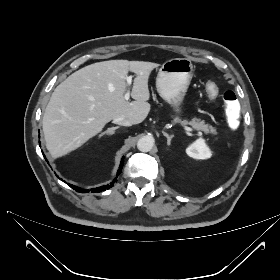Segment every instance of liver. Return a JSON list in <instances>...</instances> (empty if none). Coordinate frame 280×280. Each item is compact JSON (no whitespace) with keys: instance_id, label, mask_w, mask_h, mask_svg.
Instances as JSON below:
<instances>
[{"instance_id":"obj_1","label":"liver","mask_w":280,"mask_h":280,"mask_svg":"<svg viewBox=\"0 0 280 280\" xmlns=\"http://www.w3.org/2000/svg\"><path fill=\"white\" fill-rule=\"evenodd\" d=\"M159 64L109 60L85 66L59 84L43 116L46 146L54 157L63 156L87 142L117 117L139 124L149 111L148 79ZM136 74L127 102L126 76Z\"/></svg>"}]
</instances>
